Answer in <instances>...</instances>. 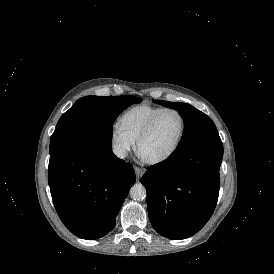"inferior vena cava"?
<instances>
[{
	"mask_svg": "<svg viewBox=\"0 0 274 274\" xmlns=\"http://www.w3.org/2000/svg\"><path fill=\"white\" fill-rule=\"evenodd\" d=\"M113 151H114L115 155L121 159H123L126 155V150L122 147H115Z\"/></svg>",
	"mask_w": 274,
	"mask_h": 274,
	"instance_id": "obj_1",
	"label": "inferior vena cava"
}]
</instances>
